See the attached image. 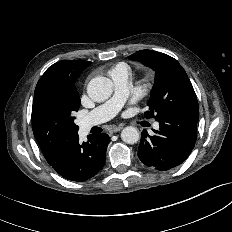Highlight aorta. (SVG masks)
<instances>
[{
    "mask_svg": "<svg viewBox=\"0 0 232 232\" xmlns=\"http://www.w3.org/2000/svg\"><path fill=\"white\" fill-rule=\"evenodd\" d=\"M113 92V83L109 78L98 76L93 78L88 86L87 93L95 102L107 100ZM140 138V133L133 126L125 127L121 132V139L127 144H135Z\"/></svg>",
    "mask_w": 232,
    "mask_h": 232,
    "instance_id": "obj_1",
    "label": "aorta"
}]
</instances>
